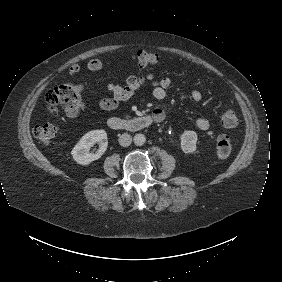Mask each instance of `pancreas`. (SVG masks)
Masks as SVG:
<instances>
[{
    "label": "pancreas",
    "mask_w": 282,
    "mask_h": 282,
    "mask_svg": "<svg viewBox=\"0 0 282 282\" xmlns=\"http://www.w3.org/2000/svg\"><path fill=\"white\" fill-rule=\"evenodd\" d=\"M126 118H127V119H128V118H130V116H129V115H127V116H126Z\"/></svg>",
    "instance_id": "1"
}]
</instances>
